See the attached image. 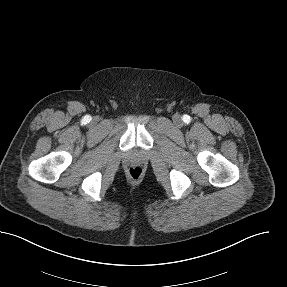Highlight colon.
<instances>
[{
	"label": "colon",
	"instance_id": "5ec220e1",
	"mask_svg": "<svg viewBox=\"0 0 287 287\" xmlns=\"http://www.w3.org/2000/svg\"><path fill=\"white\" fill-rule=\"evenodd\" d=\"M128 174L132 179L137 180L142 176L143 170L140 166H131L128 169Z\"/></svg>",
	"mask_w": 287,
	"mask_h": 287
}]
</instances>
